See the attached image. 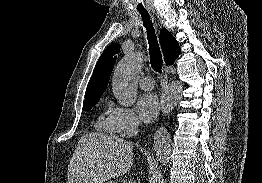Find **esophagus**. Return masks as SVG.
Returning <instances> with one entry per match:
<instances>
[{"instance_id":"1","label":"esophagus","mask_w":262,"mask_h":183,"mask_svg":"<svg viewBox=\"0 0 262 183\" xmlns=\"http://www.w3.org/2000/svg\"><path fill=\"white\" fill-rule=\"evenodd\" d=\"M168 83V75L167 73L163 74V81H162V87L165 88Z\"/></svg>"}]
</instances>
